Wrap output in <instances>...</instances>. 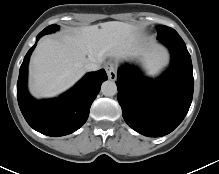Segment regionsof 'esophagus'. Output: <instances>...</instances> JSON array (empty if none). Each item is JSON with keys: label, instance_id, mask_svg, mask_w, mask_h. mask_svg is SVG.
Instances as JSON below:
<instances>
[{"label": "esophagus", "instance_id": "1", "mask_svg": "<svg viewBox=\"0 0 219 174\" xmlns=\"http://www.w3.org/2000/svg\"><path fill=\"white\" fill-rule=\"evenodd\" d=\"M117 69V65L114 62L109 61L105 64V70L110 80H116Z\"/></svg>", "mask_w": 219, "mask_h": 174}]
</instances>
